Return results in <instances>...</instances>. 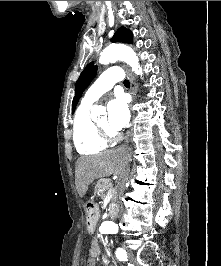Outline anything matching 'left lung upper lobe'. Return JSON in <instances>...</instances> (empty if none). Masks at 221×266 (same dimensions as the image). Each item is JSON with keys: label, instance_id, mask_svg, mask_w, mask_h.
<instances>
[{"label": "left lung upper lobe", "instance_id": "5c2ea615", "mask_svg": "<svg viewBox=\"0 0 221 266\" xmlns=\"http://www.w3.org/2000/svg\"><path fill=\"white\" fill-rule=\"evenodd\" d=\"M132 32L125 27L118 29L113 37L112 42H125L132 43ZM97 72V66H94V62H91L81 73L79 79L75 85V96L72 103V113H74L79 98L82 96L83 91L88 87Z\"/></svg>", "mask_w": 221, "mask_h": 266}]
</instances>
